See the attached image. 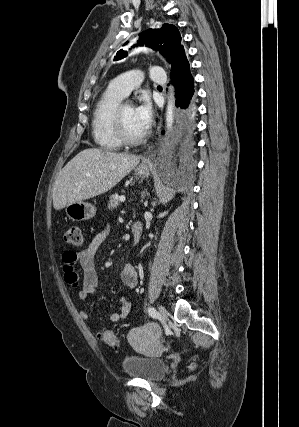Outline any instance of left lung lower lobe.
Instances as JSON below:
<instances>
[{
    "label": "left lung lower lobe",
    "mask_w": 299,
    "mask_h": 427,
    "mask_svg": "<svg viewBox=\"0 0 299 427\" xmlns=\"http://www.w3.org/2000/svg\"><path fill=\"white\" fill-rule=\"evenodd\" d=\"M171 77L175 83L176 106L180 108V138L182 149L186 154L193 149L192 134L195 131L196 106L193 102L194 79L190 73L189 62L183 46H180L173 61Z\"/></svg>",
    "instance_id": "0a47b994"
}]
</instances>
